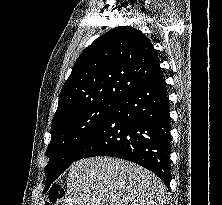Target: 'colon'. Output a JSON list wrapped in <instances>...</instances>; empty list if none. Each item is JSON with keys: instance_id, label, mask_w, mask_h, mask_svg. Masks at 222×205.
<instances>
[{"instance_id": "obj_1", "label": "colon", "mask_w": 222, "mask_h": 205, "mask_svg": "<svg viewBox=\"0 0 222 205\" xmlns=\"http://www.w3.org/2000/svg\"><path fill=\"white\" fill-rule=\"evenodd\" d=\"M64 189L60 185H55L47 196L45 205H62Z\"/></svg>"}]
</instances>
